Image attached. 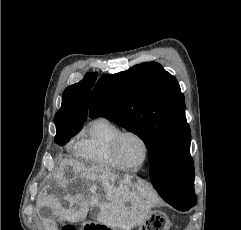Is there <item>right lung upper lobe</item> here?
<instances>
[{"label": "right lung upper lobe", "mask_w": 241, "mask_h": 230, "mask_svg": "<svg viewBox=\"0 0 241 230\" xmlns=\"http://www.w3.org/2000/svg\"><path fill=\"white\" fill-rule=\"evenodd\" d=\"M97 73H87L84 79L67 87L62 95V106L54 117L55 124L69 123L82 126L87 119L90 88Z\"/></svg>", "instance_id": "cb5924a9"}]
</instances>
